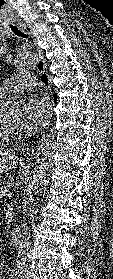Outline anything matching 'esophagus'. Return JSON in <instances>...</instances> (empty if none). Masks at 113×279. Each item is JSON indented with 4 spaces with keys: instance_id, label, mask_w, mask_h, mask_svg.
<instances>
[{
    "instance_id": "34e87169",
    "label": "esophagus",
    "mask_w": 113,
    "mask_h": 279,
    "mask_svg": "<svg viewBox=\"0 0 113 279\" xmlns=\"http://www.w3.org/2000/svg\"><path fill=\"white\" fill-rule=\"evenodd\" d=\"M18 27L19 29L28 34L29 36H31V38L34 40V44L35 46L37 45L36 43V37L34 35V32L32 31L31 27L28 26L27 24H18ZM38 50V55H39V58H38V62H37V65H36V68L39 72H44V73H47V64H46V60H45V57H44V54H43V51L39 48H37ZM49 83H50V78H49Z\"/></svg>"
}]
</instances>
